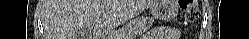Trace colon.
<instances>
[{
    "label": "colon",
    "mask_w": 249,
    "mask_h": 39,
    "mask_svg": "<svg viewBox=\"0 0 249 39\" xmlns=\"http://www.w3.org/2000/svg\"><path fill=\"white\" fill-rule=\"evenodd\" d=\"M182 20L185 25L192 24L199 17V9L194 0L181 1Z\"/></svg>",
    "instance_id": "obj_1"
}]
</instances>
